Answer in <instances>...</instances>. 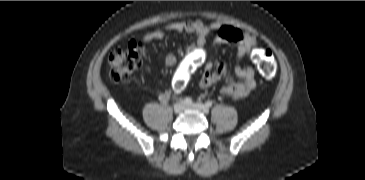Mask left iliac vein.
<instances>
[{
  "instance_id": "4c4485c4",
  "label": "left iliac vein",
  "mask_w": 365,
  "mask_h": 180,
  "mask_svg": "<svg viewBox=\"0 0 365 180\" xmlns=\"http://www.w3.org/2000/svg\"><path fill=\"white\" fill-rule=\"evenodd\" d=\"M186 108L198 110L203 114H207L209 112V108L202 103H194L192 105H187Z\"/></svg>"
}]
</instances>
